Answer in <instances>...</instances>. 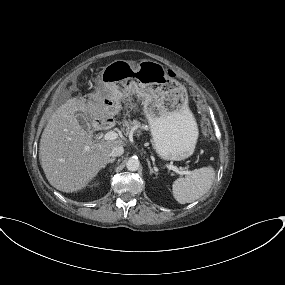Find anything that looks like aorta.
Wrapping results in <instances>:
<instances>
[{"label": "aorta", "instance_id": "1", "mask_svg": "<svg viewBox=\"0 0 285 285\" xmlns=\"http://www.w3.org/2000/svg\"><path fill=\"white\" fill-rule=\"evenodd\" d=\"M126 167L129 171H136L140 167V162L138 159L132 157L127 161Z\"/></svg>", "mask_w": 285, "mask_h": 285}]
</instances>
